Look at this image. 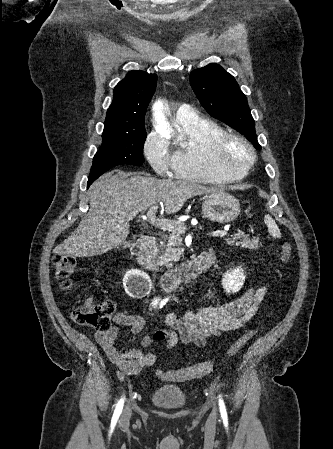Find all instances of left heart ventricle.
Masks as SVG:
<instances>
[{"mask_svg":"<svg viewBox=\"0 0 333 449\" xmlns=\"http://www.w3.org/2000/svg\"><path fill=\"white\" fill-rule=\"evenodd\" d=\"M244 156V153H243V151H241V150H237L236 151V153H235V157H237V158H239V157H243Z\"/></svg>","mask_w":333,"mask_h":449,"instance_id":"obj_1","label":"left heart ventricle"}]
</instances>
